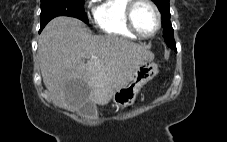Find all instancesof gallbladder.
I'll use <instances>...</instances> for the list:
<instances>
[{"mask_svg":"<svg viewBox=\"0 0 227 142\" xmlns=\"http://www.w3.org/2000/svg\"><path fill=\"white\" fill-rule=\"evenodd\" d=\"M80 113L84 117L93 118L97 114V107L92 102L91 103H87L81 108Z\"/></svg>","mask_w":227,"mask_h":142,"instance_id":"bac80fb5","label":"gallbladder"}]
</instances>
